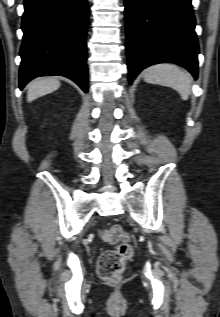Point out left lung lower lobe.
Here are the masks:
<instances>
[{
	"instance_id": "left-lung-lower-lobe-1",
	"label": "left lung lower lobe",
	"mask_w": 220,
	"mask_h": 317,
	"mask_svg": "<svg viewBox=\"0 0 220 317\" xmlns=\"http://www.w3.org/2000/svg\"><path fill=\"white\" fill-rule=\"evenodd\" d=\"M129 82L147 66L173 62L198 77L191 0H125Z\"/></svg>"
}]
</instances>
